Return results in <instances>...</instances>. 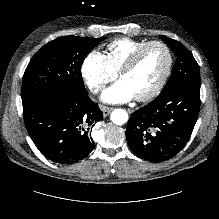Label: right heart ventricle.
<instances>
[{
  "label": "right heart ventricle",
  "instance_id": "right-heart-ventricle-1",
  "mask_svg": "<svg viewBox=\"0 0 219 219\" xmlns=\"http://www.w3.org/2000/svg\"><path fill=\"white\" fill-rule=\"evenodd\" d=\"M147 41L121 37L108 43L105 56L111 68L118 72L125 61Z\"/></svg>",
  "mask_w": 219,
  "mask_h": 219
}]
</instances>
